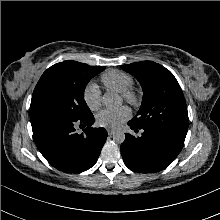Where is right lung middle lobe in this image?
<instances>
[{
    "label": "right lung middle lobe",
    "instance_id": "right-lung-middle-lobe-1",
    "mask_svg": "<svg viewBox=\"0 0 220 220\" xmlns=\"http://www.w3.org/2000/svg\"><path fill=\"white\" fill-rule=\"evenodd\" d=\"M103 70L104 66H90L76 61L54 64L38 81L30 109L45 108L74 119L91 115L84 100V89Z\"/></svg>",
    "mask_w": 220,
    "mask_h": 220
}]
</instances>
